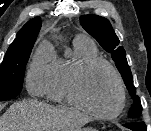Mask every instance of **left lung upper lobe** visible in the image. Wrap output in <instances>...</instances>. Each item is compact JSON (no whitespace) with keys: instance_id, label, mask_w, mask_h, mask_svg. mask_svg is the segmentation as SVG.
Returning <instances> with one entry per match:
<instances>
[{"instance_id":"1","label":"left lung upper lobe","mask_w":151,"mask_h":131,"mask_svg":"<svg viewBox=\"0 0 151 131\" xmlns=\"http://www.w3.org/2000/svg\"><path fill=\"white\" fill-rule=\"evenodd\" d=\"M80 24L99 42L104 50L111 53L112 59L133 98V104L129 110V117H138L142 113L140 98L136 95L132 73L126 59V52L122 46H119V39L110 22L106 18L98 15H82L80 17Z\"/></svg>"}]
</instances>
